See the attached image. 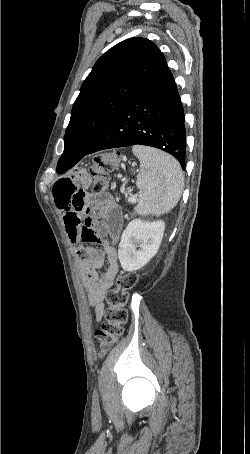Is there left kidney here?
<instances>
[{
	"label": "left kidney",
	"mask_w": 250,
	"mask_h": 454,
	"mask_svg": "<svg viewBox=\"0 0 250 454\" xmlns=\"http://www.w3.org/2000/svg\"><path fill=\"white\" fill-rule=\"evenodd\" d=\"M164 230L162 220L150 222L139 218L129 222L119 244L118 257L122 268L132 272L146 265L158 252Z\"/></svg>",
	"instance_id": "left-kidney-1"
}]
</instances>
